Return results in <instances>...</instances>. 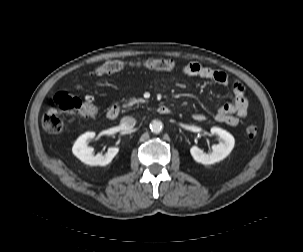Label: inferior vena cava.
Segmentation results:
<instances>
[{
  "instance_id": "602c4592",
  "label": "inferior vena cava",
  "mask_w": 303,
  "mask_h": 252,
  "mask_svg": "<svg viewBox=\"0 0 303 252\" xmlns=\"http://www.w3.org/2000/svg\"><path fill=\"white\" fill-rule=\"evenodd\" d=\"M120 123L124 129L129 130L135 126L136 120L133 117L125 116L121 119Z\"/></svg>"
}]
</instances>
